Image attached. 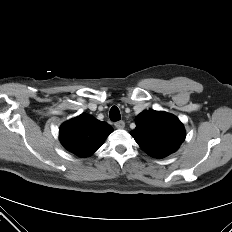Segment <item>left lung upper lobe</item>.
<instances>
[{"label": "left lung upper lobe", "instance_id": "left-lung-upper-lobe-1", "mask_svg": "<svg viewBox=\"0 0 232 232\" xmlns=\"http://www.w3.org/2000/svg\"><path fill=\"white\" fill-rule=\"evenodd\" d=\"M135 122L136 128L130 134L154 158H163L175 152L185 139L183 124L177 117L164 111H143Z\"/></svg>", "mask_w": 232, "mask_h": 232}]
</instances>
